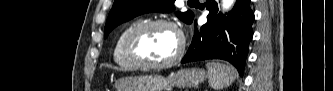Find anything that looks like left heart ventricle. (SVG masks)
Masks as SVG:
<instances>
[{
  "label": "left heart ventricle",
  "instance_id": "obj_1",
  "mask_svg": "<svg viewBox=\"0 0 333 91\" xmlns=\"http://www.w3.org/2000/svg\"><path fill=\"white\" fill-rule=\"evenodd\" d=\"M179 45V36L173 29L156 27L139 38L138 52L150 62H163L176 54Z\"/></svg>",
  "mask_w": 333,
  "mask_h": 91
}]
</instances>
